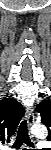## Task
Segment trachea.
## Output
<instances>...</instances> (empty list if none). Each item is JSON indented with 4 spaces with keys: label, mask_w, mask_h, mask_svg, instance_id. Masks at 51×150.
I'll return each instance as SVG.
<instances>
[{
    "label": "trachea",
    "mask_w": 51,
    "mask_h": 150,
    "mask_svg": "<svg viewBox=\"0 0 51 150\" xmlns=\"http://www.w3.org/2000/svg\"><path fill=\"white\" fill-rule=\"evenodd\" d=\"M23 143H25L27 146L32 147L33 143L31 142L29 135H28V129H27V121L23 120L20 123L16 141L13 145L14 148H19Z\"/></svg>",
    "instance_id": "3493384b"
}]
</instances>
